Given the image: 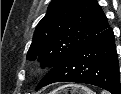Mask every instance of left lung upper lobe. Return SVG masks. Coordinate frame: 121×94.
Listing matches in <instances>:
<instances>
[{
	"mask_svg": "<svg viewBox=\"0 0 121 94\" xmlns=\"http://www.w3.org/2000/svg\"><path fill=\"white\" fill-rule=\"evenodd\" d=\"M108 27L97 0H52L35 30L27 58L39 56L42 67H54Z\"/></svg>",
	"mask_w": 121,
	"mask_h": 94,
	"instance_id": "obj_1",
	"label": "left lung upper lobe"
}]
</instances>
